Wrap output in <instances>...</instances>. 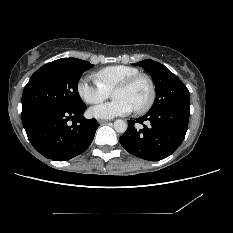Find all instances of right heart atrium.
<instances>
[{
  "instance_id": "d8ad5b80",
  "label": "right heart atrium",
  "mask_w": 233,
  "mask_h": 233,
  "mask_svg": "<svg viewBox=\"0 0 233 233\" xmlns=\"http://www.w3.org/2000/svg\"><path fill=\"white\" fill-rule=\"evenodd\" d=\"M79 96L88 104H98L103 102L109 96L107 91L96 80L91 83L87 78H82L77 85Z\"/></svg>"
}]
</instances>
